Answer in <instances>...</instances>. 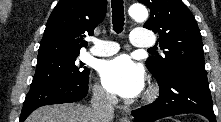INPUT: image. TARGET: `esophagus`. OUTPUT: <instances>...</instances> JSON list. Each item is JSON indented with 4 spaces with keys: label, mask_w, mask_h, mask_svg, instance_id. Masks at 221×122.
<instances>
[{
    "label": "esophagus",
    "mask_w": 221,
    "mask_h": 122,
    "mask_svg": "<svg viewBox=\"0 0 221 122\" xmlns=\"http://www.w3.org/2000/svg\"><path fill=\"white\" fill-rule=\"evenodd\" d=\"M120 122H130V120L128 119V117L123 116L121 117Z\"/></svg>",
    "instance_id": "1"
}]
</instances>
